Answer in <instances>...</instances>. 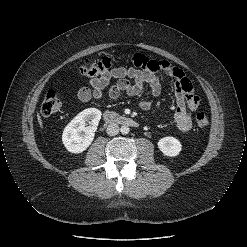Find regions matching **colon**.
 <instances>
[{
	"label": "colon",
	"instance_id": "colon-1",
	"mask_svg": "<svg viewBox=\"0 0 247 247\" xmlns=\"http://www.w3.org/2000/svg\"><path fill=\"white\" fill-rule=\"evenodd\" d=\"M115 63L112 57H103L98 60L87 61L81 67V73L87 77H96L111 70ZM62 106V101L55 91L49 90L42 101L40 112L44 117H49L57 113ZM195 122L199 129H206L209 126V119L203 112L195 116Z\"/></svg>",
	"mask_w": 247,
	"mask_h": 247
}]
</instances>
